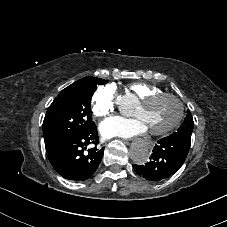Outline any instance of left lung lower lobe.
Returning <instances> with one entry per match:
<instances>
[{
    "mask_svg": "<svg viewBox=\"0 0 227 227\" xmlns=\"http://www.w3.org/2000/svg\"><path fill=\"white\" fill-rule=\"evenodd\" d=\"M191 139L168 136L155 145L150 161L133 165L136 173L150 181L163 180L173 175L184 163Z\"/></svg>",
    "mask_w": 227,
    "mask_h": 227,
    "instance_id": "1",
    "label": "left lung lower lobe"
}]
</instances>
